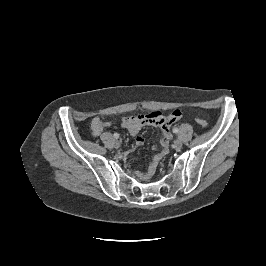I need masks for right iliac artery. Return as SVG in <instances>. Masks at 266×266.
Listing matches in <instances>:
<instances>
[{
	"instance_id": "obj_1",
	"label": "right iliac artery",
	"mask_w": 266,
	"mask_h": 266,
	"mask_svg": "<svg viewBox=\"0 0 266 266\" xmlns=\"http://www.w3.org/2000/svg\"><path fill=\"white\" fill-rule=\"evenodd\" d=\"M114 138L118 139L119 138V134L118 133H114Z\"/></svg>"
}]
</instances>
